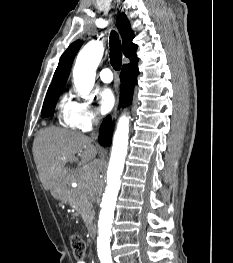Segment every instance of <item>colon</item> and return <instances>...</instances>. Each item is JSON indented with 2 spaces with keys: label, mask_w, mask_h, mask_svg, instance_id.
Wrapping results in <instances>:
<instances>
[{
  "label": "colon",
  "mask_w": 233,
  "mask_h": 263,
  "mask_svg": "<svg viewBox=\"0 0 233 263\" xmlns=\"http://www.w3.org/2000/svg\"><path fill=\"white\" fill-rule=\"evenodd\" d=\"M70 242L73 250L74 258L82 260L86 255V243L83 238L78 234H72L70 236Z\"/></svg>",
  "instance_id": "colon-1"
}]
</instances>
